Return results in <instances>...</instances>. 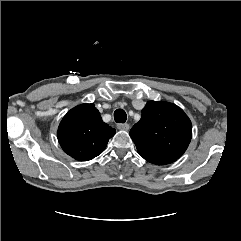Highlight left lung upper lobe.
Instances as JSON below:
<instances>
[{
	"mask_svg": "<svg viewBox=\"0 0 241 241\" xmlns=\"http://www.w3.org/2000/svg\"><path fill=\"white\" fill-rule=\"evenodd\" d=\"M139 154L177 159L183 155L192 137V124L175 104L149 101L142 116L130 130Z\"/></svg>",
	"mask_w": 241,
	"mask_h": 241,
	"instance_id": "1",
	"label": "left lung upper lobe"
}]
</instances>
